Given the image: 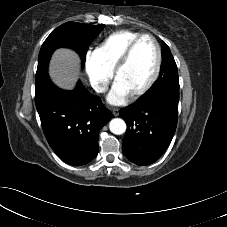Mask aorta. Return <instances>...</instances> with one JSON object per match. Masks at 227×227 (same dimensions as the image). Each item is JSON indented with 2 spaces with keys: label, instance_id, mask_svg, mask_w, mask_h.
Instances as JSON below:
<instances>
[{
  "label": "aorta",
  "instance_id": "762f6f07",
  "mask_svg": "<svg viewBox=\"0 0 227 227\" xmlns=\"http://www.w3.org/2000/svg\"><path fill=\"white\" fill-rule=\"evenodd\" d=\"M110 131L115 135H121L126 131V123L120 118H114L109 123Z\"/></svg>",
  "mask_w": 227,
  "mask_h": 227
}]
</instances>
